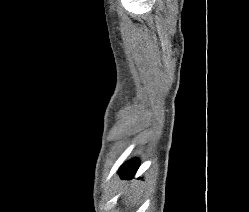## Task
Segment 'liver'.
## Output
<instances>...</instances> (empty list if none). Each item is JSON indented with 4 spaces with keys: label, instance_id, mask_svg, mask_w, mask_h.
I'll return each instance as SVG.
<instances>
[{
    "label": "liver",
    "instance_id": "6515ba94",
    "mask_svg": "<svg viewBox=\"0 0 249 212\" xmlns=\"http://www.w3.org/2000/svg\"><path fill=\"white\" fill-rule=\"evenodd\" d=\"M138 200H140L139 196L137 194H127L125 198V204H128V206H134V204H137Z\"/></svg>",
    "mask_w": 249,
    "mask_h": 212
}]
</instances>
